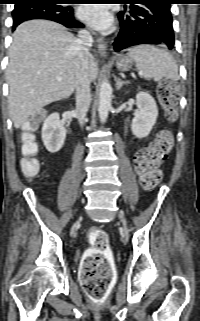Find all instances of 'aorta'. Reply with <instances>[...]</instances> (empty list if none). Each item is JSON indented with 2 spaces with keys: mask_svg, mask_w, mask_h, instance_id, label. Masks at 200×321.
<instances>
[{
  "mask_svg": "<svg viewBox=\"0 0 200 321\" xmlns=\"http://www.w3.org/2000/svg\"><path fill=\"white\" fill-rule=\"evenodd\" d=\"M112 88L108 80H103L99 93L98 113L102 123L107 120L108 112L111 107Z\"/></svg>",
  "mask_w": 200,
  "mask_h": 321,
  "instance_id": "1",
  "label": "aorta"
}]
</instances>
